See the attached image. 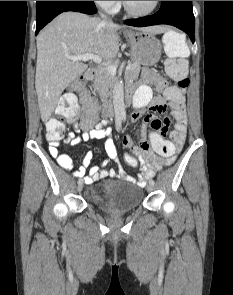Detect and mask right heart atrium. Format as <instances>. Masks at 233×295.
Instances as JSON below:
<instances>
[{"instance_id":"d8ad5b80","label":"right heart atrium","mask_w":233,"mask_h":295,"mask_svg":"<svg viewBox=\"0 0 233 295\" xmlns=\"http://www.w3.org/2000/svg\"><path fill=\"white\" fill-rule=\"evenodd\" d=\"M98 6L108 12H113L118 8L119 1H94Z\"/></svg>"}]
</instances>
